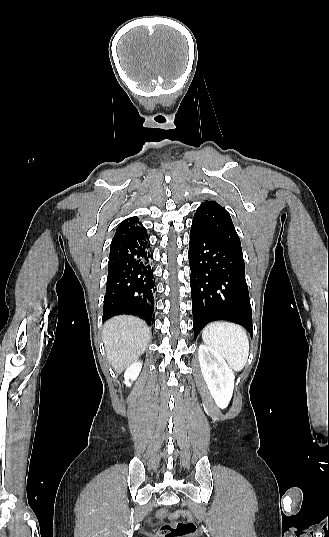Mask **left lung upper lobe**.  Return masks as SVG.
Masks as SVG:
<instances>
[{
  "label": "left lung upper lobe",
  "instance_id": "1",
  "mask_svg": "<svg viewBox=\"0 0 329 537\" xmlns=\"http://www.w3.org/2000/svg\"><path fill=\"white\" fill-rule=\"evenodd\" d=\"M192 224H196L212 236L242 249L230 214L215 201L203 202L197 209Z\"/></svg>",
  "mask_w": 329,
  "mask_h": 537
}]
</instances>
